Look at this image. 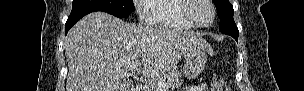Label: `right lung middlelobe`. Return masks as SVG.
<instances>
[{
	"mask_svg": "<svg viewBox=\"0 0 304 91\" xmlns=\"http://www.w3.org/2000/svg\"><path fill=\"white\" fill-rule=\"evenodd\" d=\"M94 8L119 18H126L135 10L133 0H74L72 9Z\"/></svg>",
	"mask_w": 304,
	"mask_h": 91,
	"instance_id": "right-lung-middle-lobe-1",
	"label": "right lung middle lobe"
}]
</instances>
